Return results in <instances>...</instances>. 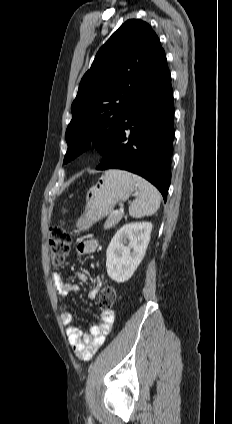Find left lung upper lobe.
I'll return each instance as SVG.
<instances>
[{"mask_svg":"<svg viewBox=\"0 0 232 424\" xmlns=\"http://www.w3.org/2000/svg\"><path fill=\"white\" fill-rule=\"evenodd\" d=\"M164 58L148 23L130 19L121 25L81 79L65 134L64 163L85 151L93 138L100 154L105 152L133 96Z\"/></svg>","mask_w":232,"mask_h":424,"instance_id":"1","label":"left lung upper lobe"}]
</instances>
